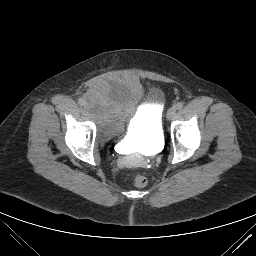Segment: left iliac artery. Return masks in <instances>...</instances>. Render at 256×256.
I'll return each instance as SVG.
<instances>
[{
  "instance_id": "1",
  "label": "left iliac artery",
  "mask_w": 256,
  "mask_h": 256,
  "mask_svg": "<svg viewBox=\"0 0 256 256\" xmlns=\"http://www.w3.org/2000/svg\"><path fill=\"white\" fill-rule=\"evenodd\" d=\"M182 107H183V103H182V102H178L177 104H175V108H176L177 110L182 109Z\"/></svg>"
}]
</instances>
